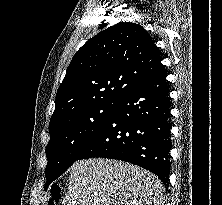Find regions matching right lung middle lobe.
I'll return each instance as SVG.
<instances>
[{"label":"right lung middle lobe","mask_w":222,"mask_h":205,"mask_svg":"<svg viewBox=\"0 0 222 205\" xmlns=\"http://www.w3.org/2000/svg\"><path fill=\"white\" fill-rule=\"evenodd\" d=\"M121 101H109L83 108L49 125L50 141L46 147L47 188L63 174L105 124Z\"/></svg>","instance_id":"right-lung-middle-lobe-1"}]
</instances>
